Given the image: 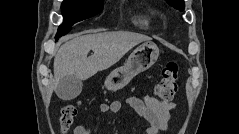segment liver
I'll return each instance as SVG.
<instances>
[{"mask_svg": "<svg viewBox=\"0 0 239 134\" xmlns=\"http://www.w3.org/2000/svg\"><path fill=\"white\" fill-rule=\"evenodd\" d=\"M150 37L133 32H104L78 36L63 44L54 58V89L60 79L74 75L86 80L110 68L129 50ZM93 55L87 57L89 51Z\"/></svg>", "mask_w": 239, "mask_h": 134, "instance_id": "6515ba94", "label": "liver"}]
</instances>
